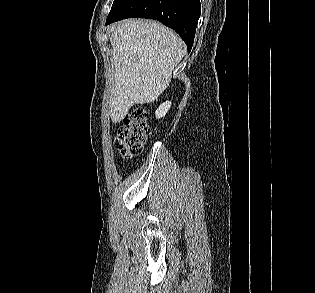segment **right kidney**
I'll list each match as a JSON object with an SVG mask.
<instances>
[{"label":"right kidney","instance_id":"right-kidney-1","mask_svg":"<svg viewBox=\"0 0 315 293\" xmlns=\"http://www.w3.org/2000/svg\"><path fill=\"white\" fill-rule=\"evenodd\" d=\"M171 107V102L166 101L165 103L161 104L155 112L156 118L160 119L166 115Z\"/></svg>","mask_w":315,"mask_h":293}]
</instances>
